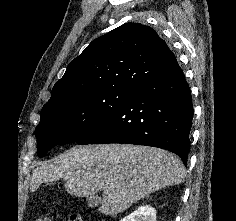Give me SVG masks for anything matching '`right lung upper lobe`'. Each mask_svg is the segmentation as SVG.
I'll use <instances>...</instances> for the list:
<instances>
[{
  "label": "right lung upper lobe",
  "mask_w": 236,
  "mask_h": 221,
  "mask_svg": "<svg viewBox=\"0 0 236 221\" xmlns=\"http://www.w3.org/2000/svg\"><path fill=\"white\" fill-rule=\"evenodd\" d=\"M176 62L166 42L149 26L125 23L93 40L67 67L44 105L115 89H137Z\"/></svg>",
  "instance_id": "1"
}]
</instances>
